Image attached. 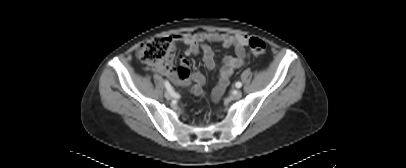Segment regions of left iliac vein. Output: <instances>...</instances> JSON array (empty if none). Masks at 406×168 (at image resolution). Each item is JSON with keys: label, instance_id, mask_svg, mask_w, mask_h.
<instances>
[{"label": "left iliac vein", "instance_id": "obj_1", "mask_svg": "<svg viewBox=\"0 0 406 168\" xmlns=\"http://www.w3.org/2000/svg\"><path fill=\"white\" fill-rule=\"evenodd\" d=\"M241 97H242V92L240 90H236L231 96L232 99H236V100L240 99Z\"/></svg>", "mask_w": 406, "mask_h": 168}]
</instances>
